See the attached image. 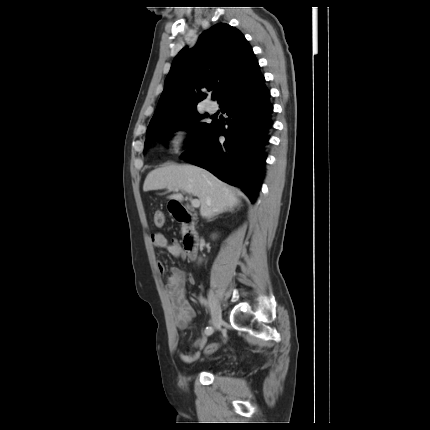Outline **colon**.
<instances>
[{
	"mask_svg": "<svg viewBox=\"0 0 430 430\" xmlns=\"http://www.w3.org/2000/svg\"><path fill=\"white\" fill-rule=\"evenodd\" d=\"M164 221H165L164 213L161 210H157L154 213V223H155V225L158 226V227H161V226H163ZM217 347H218L217 343L210 344L206 348L205 353L206 354H211L212 352H214L217 349Z\"/></svg>",
	"mask_w": 430,
	"mask_h": 430,
	"instance_id": "obj_1",
	"label": "colon"
}]
</instances>
